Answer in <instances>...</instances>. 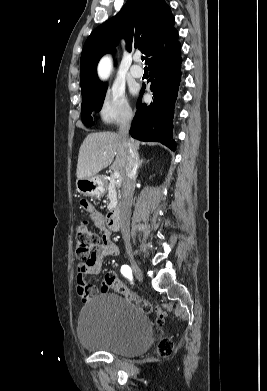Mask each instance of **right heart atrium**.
Wrapping results in <instances>:
<instances>
[{"label": "right heart atrium", "instance_id": "d8ad5b80", "mask_svg": "<svg viewBox=\"0 0 267 391\" xmlns=\"http://www.w3.org/2000/svg\"><path fill=\"white\" fill-rule=\"evenodd\" d=\"M98 116L104 124H120L131 119V108L120 88L107 90L98 109Z\"/></svg>", "mask_w": 267, "mask_h": 391}]
</instances>
